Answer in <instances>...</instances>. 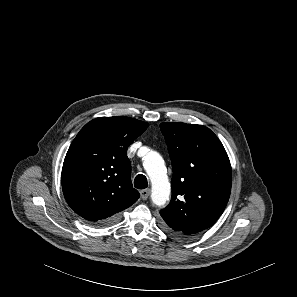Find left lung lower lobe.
Here are the masks:
<instances>
[{"label":"left lung lower lobe","mask_w":297,"mask_h":297,"mask_svg":"<svg viewBox=\"0 0 297 297\" xmlns=\"http://www.w3.org/2000/svg\"><path fill=\"white\" fill-rule=\"evenodd\" d=\"M163 228H164V230H165L168 234H170L171 236H173V237H181V236L175 234L174 232L170 231V230L167 229L166 227L163 226Z\"/></svg>","instance_id":"left-lung-lower-lobe-1"}]
</instances>
